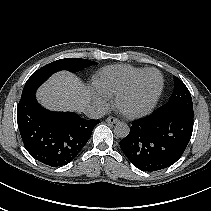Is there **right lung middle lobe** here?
I'll use <instances>...</instances> for the list:
<instances>
[{
    "label": "right lung middle lobe",
    "mask_w": 211,
    "mask_h": 211,
    "mask_svg": "<svg viewBox=\"0 0 211 211\" xmlns=\"http://www.w3.org/2000/svg\"><path fill=\"white\" fill-rule=\"evenodd\" d=\"M94 61L81 58H65L51 62L39 70L35 71L27 80L22 97L35 92L36 89L45 82L53 73L60 70H68L70 72H77L88 66L94 65Z\"/></svg>",
    "instance_id": "obj_1"
}]
</instances>
